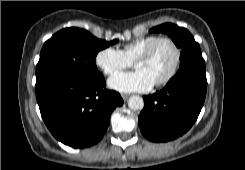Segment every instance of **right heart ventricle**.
Returning <instances> with one entry per match:
<instances>
[{
  "label": "right heart ventricle",
  "instance_id": "e07e8e85",
  "mask_svg": "<svg viewBox=\"0 0 245 170\" xmlns=\"http://www.w3.org/2000/svg\"><path fill=\"white\" fill-rule=\"evenodd\" d=\"M158 37L157 35L140 37L125 44L122 51L130 61H134L138 54Z\"/></svg>",
  "mask_w": 245,
  "mask_h": 170
}]
</instances>
